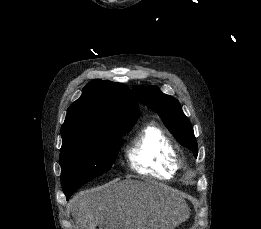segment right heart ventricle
Returning <instances> with one entry per match:
<instances>
[{
  "label": "right heart ventricle",
  "mask_w": 261,
  "mask_h": 229,
  "mask_svg": "<svg viewBox=\"0 0 261 229\" xmlns=\"http://www.w3.org/2000/svg\"><path fill=\"white\" fill-rule=\"evenodd\" d=\"M126 156L142 173H174L176 151L168 134L156 123L146 124L131 141Z\"/></svg>",
  "instance_id": "right-heart-ventricle-1"
}]
</instances>
